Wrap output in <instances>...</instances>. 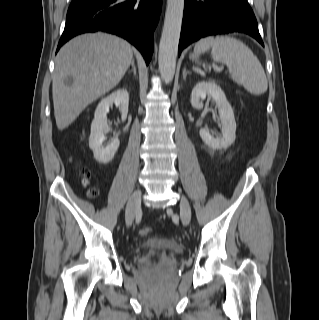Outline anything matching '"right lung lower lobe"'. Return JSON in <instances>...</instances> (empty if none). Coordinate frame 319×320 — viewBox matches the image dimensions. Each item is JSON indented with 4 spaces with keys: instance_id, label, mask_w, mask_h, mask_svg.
Masks as SVG:
<instances>
[{
    "instance_id": "98d812e1",
    "label": "right lung lower lobe",
    "mask_w": 319,
    "mask_h": 320,
    "mask_svg": "<svg viewBox=\"0 0 319 320\" xmlns=\"http://www.w3.org/2000/svg\"><path fill=\"white\" fill-rule=\"evenodd\" d=\"M161 7L162 0H73L57 51L78 34L105 31L131 42L148 64Z\"/></svg>"
}]
</instances>
